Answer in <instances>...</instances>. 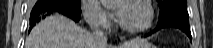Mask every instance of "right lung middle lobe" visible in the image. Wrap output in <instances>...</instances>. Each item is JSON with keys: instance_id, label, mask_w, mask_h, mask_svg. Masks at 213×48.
<instances>
[{"instance_id": "obj_1", "label": "right lung middle lobe", "mask_w": 213, "mask_h": 48, "mask_svg": "<svg viewBox=\"0 0 213 48\" xmlns=\"http://www.w3.org/2000/svg\"><path fill=\"white\" fill-rule=\"evenodd\" d=\"M68 1H70L71 3H74L78 6H81V0H68Z\"/></svg>"}]
</instances>
